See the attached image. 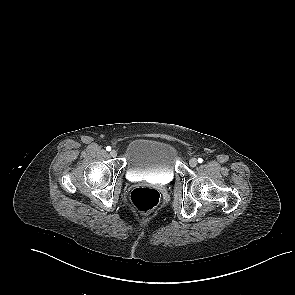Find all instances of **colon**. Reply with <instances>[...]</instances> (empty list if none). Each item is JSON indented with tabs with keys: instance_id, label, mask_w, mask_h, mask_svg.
Listing matches in <instances>:
<instances>
[{
	"instance_id": "obj_1",
	"label": "colon",
	"mask_w": 295,
	"mask_h": 295,
	"mask_svg": "<svg viewBox=\"0 0 295 295\" xmlns=\"http://www.w3.org/2000/svg\"><path fill=\"white\" fill-rule=\"evenodd\" d=\"M130 202L142 213H148L156 208L160 202V194L156 189L139 187L130 193Z\"/></svg>"
}]
</instances>
